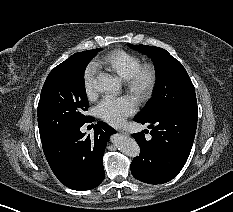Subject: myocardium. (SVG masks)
Returning a JSON list of instances; mask_svg holds the SVG:
<instances>
[{"label": "myocardium", "mask_w": 233, "mask_h": 212, "mask_svg": "<svg viewBox=\"0 0 233 212\" xmlns=\"http://www.w3.org/2000/svg\"><path fill=\"white\" fill-rule=\"evenodd\" d=\"M156 82L157 71L151 64L140 65L124 80L127 91L140 103L145 102L151 97Z\"/></svg>", "instance_id": "obj_1"}]
</instances>
